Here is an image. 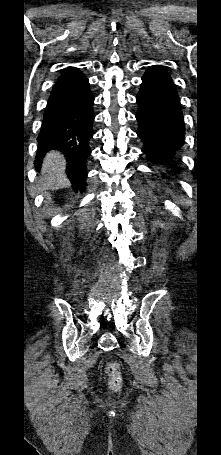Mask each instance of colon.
I'll list each match as a JSON object with an SVG mask.
<instances>
[{"instance_id":"colon-1","label":"colon","mask_w":221,"mask_h":455,"mask_svg":"<svg viewBox=\"0 0 221 455\" xmlns=\"http://www.w3.org/2000/svg\"><path fill=\"white\" fill-rule=\"evenodd\" d=\"M107 375L109 383L113 388H120L122 385V377L119 367L116 363H110L107 367Z\"/></svg>"}]
</instances>
